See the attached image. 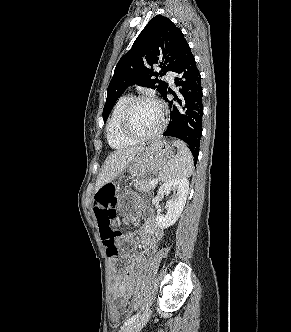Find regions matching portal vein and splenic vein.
<instances>
[{
  "mask_svg": "<svg viewBox=\"0 0 291 332\" xmlns=\"http://www.w3.org/2000/svg\"><path fill=\"white\" fill-rule=\"evenodd\" d=\"M158 183V179H153L152 181H151V186L152 187H155V185Z\"/></svg>",
  "mask_w": 291,
  "mask_h": 332,
  "instance_id": "portal-vein-and-splenic-vein-1",
  "label": "portal vein and splenic vein"
}]
</instances>
